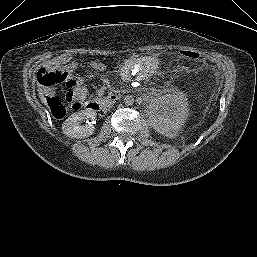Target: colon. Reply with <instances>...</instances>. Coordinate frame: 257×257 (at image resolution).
<instances>
[{"mask_svg": "<svg viewBox=\"0 0 257 257\" xmlns=\"http://www.w3.org/2000/svg\"><path fill=\"white\" fill-rule=\"evenodd\" d=\"M180 54L190 60L199 61L201 58L200 52L193 49H183ZM65 74L63 71L56 67H42L37 73V79L42 89L44 90V101L50 110L53 117L60 119L63 118L67 111V106L73 109H79L85 99V90L81 87L80 83L69 86V90L65 93V103L53 94L51 88L65 81Z\"/></svg>", "mask_w": 257, "mask_h": 257, "instance_id": "1", "label": "colon"}]
</instances>
